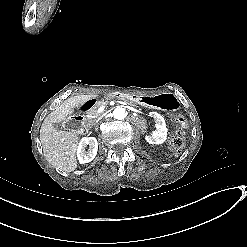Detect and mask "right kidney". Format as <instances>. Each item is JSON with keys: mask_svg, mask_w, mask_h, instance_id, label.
<instances>
[{"mask_svg": "<svg viewBox=\"0 0 247 247\" xmlns=\"http://www.w3.org/2000/svg\"><path fill=\"white\" fill-rule=\"evenodd\" d=\"M86 146L89 149L86 150ZM98 151V142L95 137H83L77 147V158L80 164H85L91 162Z\"/></svg>", "mask_w": 247, "mask_h": 247, "instance_id": "obj_1", "label": "right kidney"}]
</instances>
